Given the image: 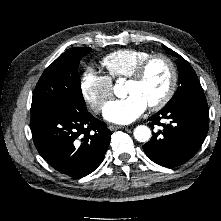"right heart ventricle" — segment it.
<instances>
[{"mask_svg": "<svg viewBox=\"0 0 221 221\" xmlns=\"http://www.w3.org/2000/svg\"><path fill=\"white\" fill-rule=\"evenodd\" d=\"M151 55L150 52L139 49H119L106 55L101 65L106 69L112 80L128 78L136 66Z\"/></svg>", "mask_w": 221, "mask_h": 221, "instance_id": "e07e8e85", "label": "right heart ventricle"}]
</instances>
